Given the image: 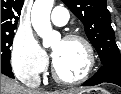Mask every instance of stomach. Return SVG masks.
<instances>
[{"mask_svg": "<svg viewBox=\"0 0 121 94\" xmlns=\"http://www.w3.org/2000/svg\"><path fill=\"white\" fill-rule=\"evenodd\" d=\"M78 94H110V93L102 88H92L86 91L79 92Z\"/></svg>", "mask_w": 121, "mask_h": 94, "instance_id": "stomach-1", "label": "stomach"}]
</instances>
